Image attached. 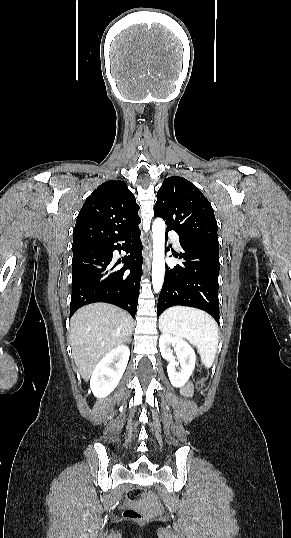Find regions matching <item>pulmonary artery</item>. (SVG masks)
<instances>
[{"mask_svg":"<svg viewBox=\"0 0 291 538\" xmlns=\"http://www.w3.org/2000/svg\"><path fill=\"white\" fill-rule=\"evenodd\" d=\"M169 236H170L175 248L179 250L181 248L179 235L176 232L171 231V232H169Z\"/></svg>","mask_w":291,"mask_h":538,"instance_id":"1","label":"pulmonary artery"}]
</instances>
